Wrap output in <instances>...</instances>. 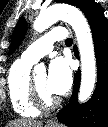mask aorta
<instances>
[{
    "label": "aorta",
    "mask_w": 108,
    "mask_h": 127,
    "mask_svg": "<svg viewBox=\"0 0 108 127\" xmlns=\"http://www.w3.org/2000/svg\"><path fill=\"white\" fill-rule=\"evenodd\" d=\"M58 20L69 23L76 35L81 59V85L79 102H85L91 96L96 82V61L94 44L89 24L82 12L68 4H57L42 11L33 23L36 32H43ZM40 66L34 67L38 72Z\"/></svg>",
    "instance_id": "obj_1"
}]
</instances>
